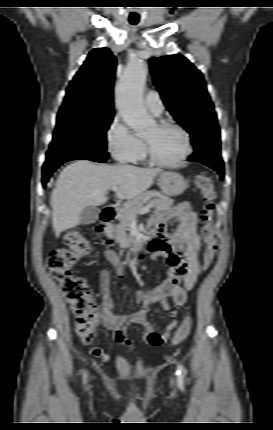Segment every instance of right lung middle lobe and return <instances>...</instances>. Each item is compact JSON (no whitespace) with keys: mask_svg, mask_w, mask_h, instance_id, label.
<instances>
[{"mask_svg":"<svg viewBox=\"0 0 273 430\" xmlns=\"http://www.w3.org/2000/svg\"><path fill=\"white\" fill-rule=\"evenodd\" d=\"M114 112L60 109L53 140L43 168L106 152V130Z\"/></svg>","mask_w":273,"mask_h":430,"instance_id":"1","label":"right lung middle lobe"}]
</instances>
